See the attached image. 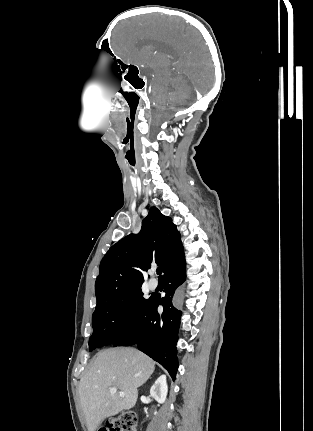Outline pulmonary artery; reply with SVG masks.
<instances>
[{
  "label": "pulmonary artery",
  "mask_w": 313,
  "mask_h": 431,
  "mask_svg": "<svg viewBox=\"0 0 313 431\" xmlns=\"http://www.w3.org/2000/svg\"><path fill=\"white\" fill-rule=\"evenodd\" d=\"M157 286H158V282L156 280H154V279L150 280V282H149V288L151 290H155L157 288Z\"/></svg>",
  "instance_id": "e3ab8cb5"
}]
</instances>
